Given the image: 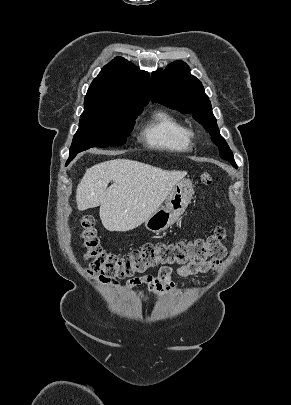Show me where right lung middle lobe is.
<instances>
[{
  "label": "right lung middle lobe",
  "mask_w": 291,
  "mask_h": 405,
  "mask_svg": "<svg viewBox=\"0 0 291 405\" xmlns=\"http://www.w3.org/2000/svg\"><path fill=\"white\" fill-rule=\"evenodd\" d=\"M139 109L91 107L84 108L79 129L74 135L67 164L77 153L91 147L120 146L133 129Z\"/></svg>",
  "instance_id": "dd1d6c3e"
}]
</instances>
